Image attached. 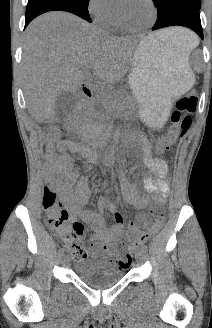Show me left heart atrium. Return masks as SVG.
Wrapping results in <instances>:
<instances>
[{
	"mask_svg": "<svg viewBox=\"0 0 212 328\" xmlns=\"http://www.w3.org/2000/svg\"><path fill=\"white\" fill-rule=\"evenodd\" d=\"M126 2H127V0H119V3H120L121 5H124Z\"/></svg>",
	"mask_w": 212,
	"mask_h": 328,
	"instance_id": "39dd6f15",
	"label": "left heart atrium"
}]
</instances>
